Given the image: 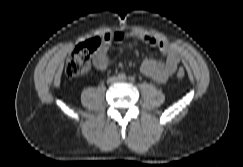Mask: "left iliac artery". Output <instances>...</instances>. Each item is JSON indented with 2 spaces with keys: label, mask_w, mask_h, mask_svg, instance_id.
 Wrapping results in <instances>:
<instances>
[{
  "label": "left iliac artery",
  "mask_w": 243,
  "mask_h": 167,
  "mask_svg": "<svg viewBox=\"0 0 243 167\" xmlns=\"http://www.w3.org/2000/svg\"><path fill=\"white\" fill-rule=\"evenodd\" d=\"M129 80H130L131 82H134V81H135L134 77H130Z\"/></svg>",
  "instance_id": "44dca946"
}]
</instances>
